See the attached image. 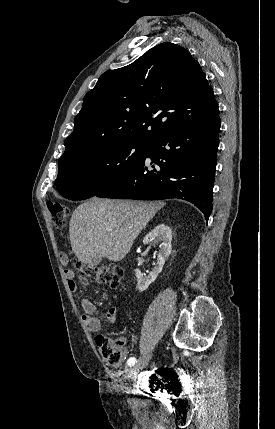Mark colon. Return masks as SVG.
I'll return each mask as SVG.
<instances>
[{"label": "colon", "instance_id": "obj_1", "mask_svg": "<svg viewBox=\"0 0 275 429\" xmlns=\"http://www.w3.org/2000/svg\"><path fill=\"white\" fill-rule=\"evenodd\" d=\"M47 206L54 226L57 229L65 228L69 220V210L67 206L58 201H49ZM60 260L62 264H67L68 258L66 254L61 253ZM75 266L79 270L81 278L97 281L112 288L119 287L124 277L123 268L114 263L85 265L77 261ZM95 341L102 359L108 366L118 368L122 365L125 355L122 348L123 343L120 339L106 335H98Z\"/></svg>", "mask_w": 275, "mask_h": 429}]
</instances>
